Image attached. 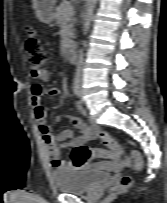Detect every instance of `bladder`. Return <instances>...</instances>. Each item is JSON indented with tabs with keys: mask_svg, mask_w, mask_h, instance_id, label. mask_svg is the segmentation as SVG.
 Segmentation results:
<instances>
[{
	"mask_svg": "<svg viewBox=\"0 0 167 203\" xmlns=\"http://www.w3.org/2000/svg\"><path fill=\"white\" fill-rule=\"evenodd\" d=\"M110 174L98 170H78L61 168L52 173V179L59 191L69 194H82L95 186L109 181Z\"/></svg>",
	"mask_w": 167,
	"mask_h": 203,
	"instance_id": "1",
	"label": "bladder"
}]
</instances>
